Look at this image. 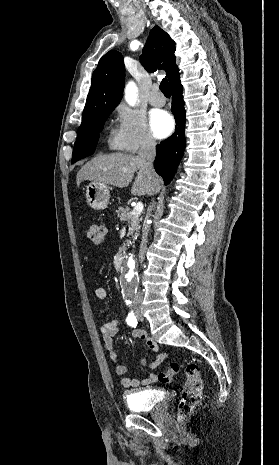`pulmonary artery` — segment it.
Listing matches in <instances>:
<instances>
[{
	"label": "pulmonary artery",
	"mask_w": 279,
	"mask_h": 465,
	"mask_svg": "<svg viewBox=\"0 0 279 465\" xmlns=\"http://www.w3.org/2000/svg\"><path fill=\"white\" fill-rule=\"evenodd\" d=\"M165 102V97L159 92L158 87H154L149 94V103L155 107H162Z\"/></svg>",
	"instance_id": "pulmonary-artery-1"
}]
</instances>
